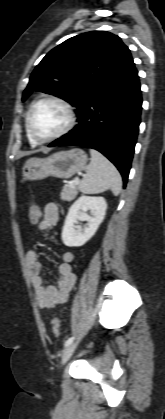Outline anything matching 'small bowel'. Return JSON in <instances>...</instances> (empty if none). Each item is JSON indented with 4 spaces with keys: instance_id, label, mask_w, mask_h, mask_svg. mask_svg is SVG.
I'll return each instance as SVG.
<instances>
[{
    "instance_id": "c3829d8e",
    "label": "small bowel",
    "mask_w": 165,
    "mask_h": 419,
    "mask_svg": "<svg viewBox=\"0 0 165 419\" xmlns=\"http://www.w3.org/2000/svg\"><path fill=\"white\" fill-rule=\"evenodd\" d=\"M58 220L59 209L57 205L48 203L41 214L38 223L39 229L42 231L50 230L56 226ZM25 260L38 306L42 309H50L65 303L76 282V275L72 269L74 253L70 250L61 252L60 262L57 267L58 281L56 285H45L42 276L44 266L35 249L27 251Z\"/></svg>"
}]
</instances>
